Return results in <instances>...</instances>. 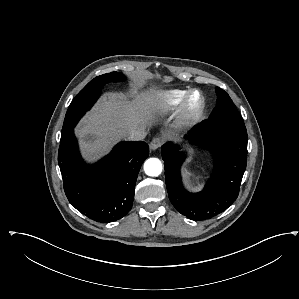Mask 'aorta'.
<instances>
[{
  "mask_svg": "<svg viewBox=\"0 0 299 299\" xmlns=\"http://www.w3.org/2000/svg\"><path fill=\"white\" fill-rule=\"evenodd\" d=\"M144 171L148 176H159L162 172V163L158 158H149L144 163Z\"/></svg>",
  "mask_w": 299,
  "mask_h": 299,
  "instance_id": "1",
  "label": "aorta"
}]
</instances>
